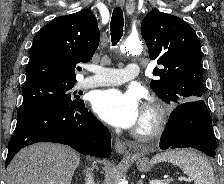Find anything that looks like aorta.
Segmentation results:
<instances>
[{"label": "aorta", "instance_id": "aorta-1", "mask_svg": "<svg viewBox=\"0 0 224 184\" xmlns=\"http://www.w3.org/2000/svg\"><path fill=\"white\" fill-rule=\"evenodd\" d=\"M142 42L138 38H127L121 45L120 51L122 53H139L142 51ZM118 184H123V182H119Z\"/></svg>", "mask_w": 224, "mask_h": 184}]
</instances>
